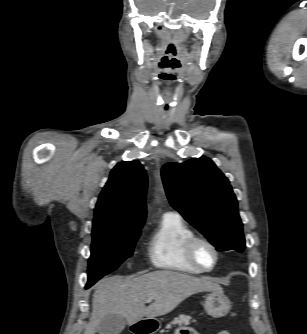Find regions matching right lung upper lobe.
Here are the masks:
<instances>
[{
  "mask_svg": "<svg viewBox=\"0 0 307 334\" xmlns=\"http://www.w3.org/2000/svg\"><path fill=\"white\" fill-rule=\"evenodd\" d=\"M146 190L147 175L138 161L118 163L97 201L93 229L143 225L146 218Z\"/></svg>",
  "mask_w": 307,
  "mask_h": 334,
  "instance_id": "right-lung-upper-lobe-1",
  "label": "right lung upper lobe"
}]
</instances>
